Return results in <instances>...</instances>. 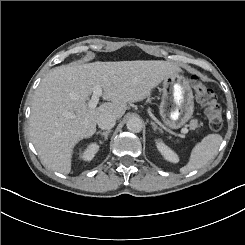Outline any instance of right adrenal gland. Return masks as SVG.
<instances>
[{
    "mask_svg": "<svg viewBox=\"0 0 245 245\" xmlns=\"http://www.w3.org/2000/svg\"><path fill=\"white\" fill-rule=\"evenodd\" d=\"M111 130H107V131H104V132H101V131H98L96 132V135L100 134L102 136H104V139L107 140L108 139V135L110 134Z\"/></svg>",
    "mask_w": 245,
    "mask_h": 245,
    "instance_id": "right-adrenal-gland-1",
    "label": "right adrenal gland"
}]
</instances>
